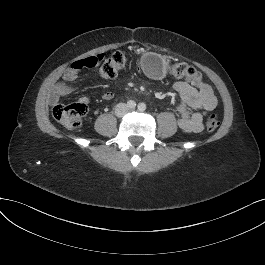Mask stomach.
Listing matches in <instances>:
<instances>
[{
  "label": "stomach",
  "mask_w": 265,
  "mask_h": 265,
  "mask_svg": "<svg viewBox=\"0 0 265 265\" xmlns=\"http://www.w3.org/2000/svg\"><path fill=\"white\" fill-rule=\"evenodd\" d=\"M167 61L159 54L148 52L141 57V67L145 74L154 79L166 76Z\"/></svg>",
  "instance_id": "obj_1"
}]
</instances>
